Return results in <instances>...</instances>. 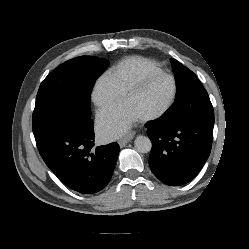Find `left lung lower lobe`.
Wrapping results in <instances>:
<instances>
[{"label": "left lung lower lobe", "mask_w": 249, "mask_h": 249, "mask_svg": "<svg viewBox=\"0 0 249 249\" xmlns=\"http://www.w3.org/2000/svg\"><path fill=\"white\" fill-rule=\"evenodd\" d=\"M145 126L152 141L149 165L154 175L170 186L191 181L210 155L214 116L182 123L159 118Z\"/></svg>", "instance_id": "0a47b994"}]
</instances>
